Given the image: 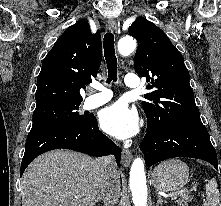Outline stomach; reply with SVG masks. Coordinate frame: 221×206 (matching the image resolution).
Here are the masks:
<instances>
[{"instance_id": "obj_1", "label": "stomach", "mask_w": 221, "mask_h": 206, "mask_svg": "<svg viewBox=\"0 0 221 206\" xmlns=\"http://www.w3.org/2000/svg\"><path fill=\"white\" fill-rule=\"evenodd\" d=\"M189 168L181 160L165 161L154 168L151 176L152 185L160 191H176L188 181Z\"/></svg>"}]
</instances>
